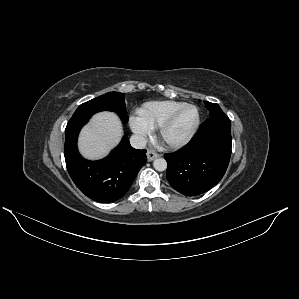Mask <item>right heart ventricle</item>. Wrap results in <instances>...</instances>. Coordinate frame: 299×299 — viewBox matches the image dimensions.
<instances>
[{
    "mask_svg": "<svg viewBox=\"0 0 299 299\" xmlns=\"http://www.w3.org/2000/svg\"><path fill=\"white\" fill-rule=\"evenodd\" d=\"M186 104L181 101L159 100L145 103L138 111L139 118L151 129H157L161 123L177 108Z\"/></svg>",
    "mask_w": 299,
    "mask_h": 299,
    "instance_id": "obj_1",
    "label": "right heart ventricle"
}]
</instances>
